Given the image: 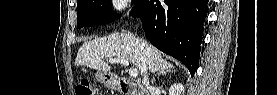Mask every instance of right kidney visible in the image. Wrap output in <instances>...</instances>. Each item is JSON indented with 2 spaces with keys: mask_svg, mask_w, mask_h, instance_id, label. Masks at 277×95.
<instances>
[{
  "mask_svg": "<svg viewBox=\"0 0 277 95\" xmlns=\"http://www.w3.org/2000/svg\"><path fill=\"white\" fill-rule=\"evenodd\" d=\"M182 91V85L180 84H174L170 87L169 94L170 95H178Z\"/></svg>",
  "mask_w": 277,
  "mask_h": 95,
  "instance_id": "right-kidney-1",
  "label": "right kidney"
}]
</instances>
